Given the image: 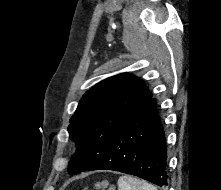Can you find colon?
I'll return each instance as SVG.
<instances>
[{"instance_id":"5ec220e1","label":"colon","mask_w":221,"mask_h":190,"mask_svg":"<svg viewBox=\"0 0 221 190\" xmlns=\"http://www.w3.org/2000/svg\"><path fill=\"white\" fill-rule=\"evenodd\" d=\"M95 188L97 190H102V189H107V190H112V188L109 186V183L108 181H100V182H97L95 184Z\"/></svg>"}]
</instances>
